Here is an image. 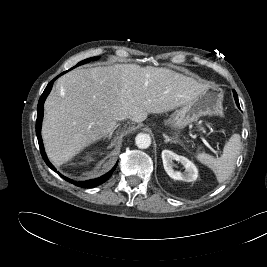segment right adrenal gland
<instances>
[{"instance_id":"obj_1","label":"right adrenal gland","mask_w":267,"mask_h":267,"mask_svg":"<svg viewBox=\"0 0 267 267\" xmlns=\"http://www.w3.org/2000/svg\"><path fill=\"white\" fill-rule=\"evenodd\" d=\"M119 125H120V124H117L109 134H106V135L104 136V139H106V138H107V139H111L113 132L118 128Z\"/></svg>"}]
</instances>
